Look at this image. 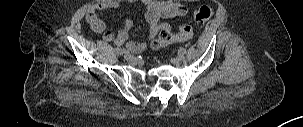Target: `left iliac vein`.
<instances>
[{"instance_id": "1", "label": "left iliac vein", "mask_w": 303, "mask_h": 127, "mask_svg": "<svg viewBox=\"0 0 303 127\" xmlns=\"http://www.w3.org/2000/svg\"><path fill=\"white\" fill-rule=\"evenodd\" d=\"M176 60L178 62H182V61H184V56L183 55H179Z\"/></svg>"}]
</instances>
